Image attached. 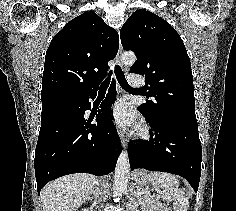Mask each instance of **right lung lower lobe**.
Wrapping results in <instances>:
<instances>
[{"label":"right lung lower lobe","instance_id":"right-lung-lower-lobe-1","mask_svg":"<svg viewBox=\"0 0 236 211\" xmlns=\"http://www.w3.org/2000/svg\"><path fill=\"white\" fill-rule=\"evenodd\" d=\"M110 92L93 118H85L89 99L97 91L79 98L42 104L41 128L35 151L37 191L49 181L72 173L107 175L115 169L121 153L120 139L112 121L111 105L116 92Z\"/></svg>","mask_w":236,"mask_h":211}]
</instances>
